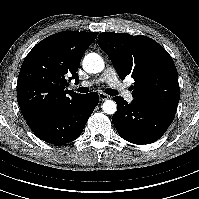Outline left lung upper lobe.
I'll return each mask as SVG.
<instances>
[{"label":"left lung upper lobe","instance_id":"1","mask_svg":"<svg viewBox=\"0 0 199 199\" xmlns=\"http://www.w3.org/2000/svg\"><path fill=\"white\" fill-rule=\"evenodd\" d=\"M98 45L111 59L119 77L131 75L134 99L175 113L180 99L178 73L169 53L146 36L101 33Z\"/></svg>","mask_w":199,"mask_h":199}]
</instances>
